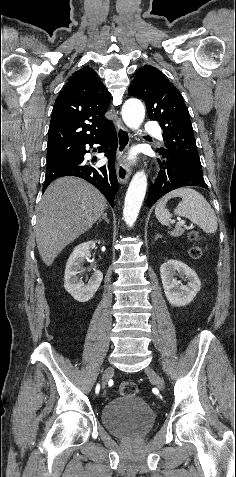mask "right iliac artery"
Listing matches in <instances>:
<instances>
[{"mask_svg": "<svg viewBox=\"0 0 236 477\" xmlns=\"http://www.w3.org/2000/svg\"><path fill=\"white\" fill-rule=\"evenodd\" d=\"M99 390H100V386H99V384H98V385L96 386V393H98Z\"/></svg>", "mask_w": 236, "mask_h": 477, "instance_id": "1", "label": "right iliac artery"}]
</instances>
